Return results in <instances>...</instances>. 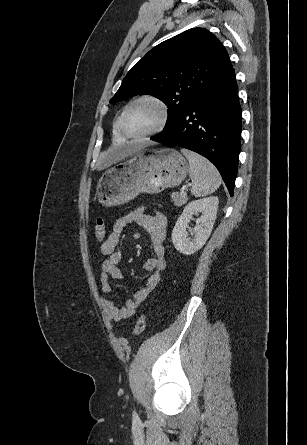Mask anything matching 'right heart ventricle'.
Listing matches in <instances>:
<instances>
[{"mask_svg":"<svg viewBox=\"0 0 307 445\" xmlns=\"http://www.w3.org/2000/svg\"><path fill=\"white\" fill-rule=\"evenodd\" d=\"M113 138H114V142L117 144H121L122 140L126 139L125 135L122 132L120 118L115 122V124L113 126Z\"/></svg>","mask_w":307,"mask_h":445,"instance_id":"right-heart-ventricle-1","label":"right heart ventricle"}]
</instances>
